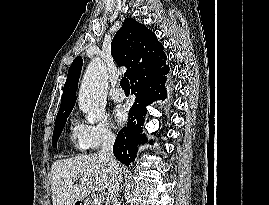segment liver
<instances>
[{
	"mask_svg": "<svg viewBox=\"0 0 269 205\" xmlns=\"http://www.w3.org/2000/svg\"><path fill=\"white\" fill-rule=\"evenodd\" d=\"M84 178L88 180L77 182ZM111 180L108 163L95 153L56 160L50 176L53 205H73L92 190L104 193Z\"/></svg>",
	"mask_w": 269,
	"mask_h": 205,
	"instance_id": "6515ba94",
	"label": "liver"
}]
</instances>
